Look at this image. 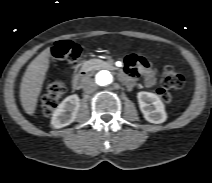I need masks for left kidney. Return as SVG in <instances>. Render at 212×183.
Segmentation results:
<instances>
[{
	"instance_id": "left-kidney-1",
	"label": "left kidney",
	"mask_w": 212,
	"mask_h": 183,
	"mask_svg": "<svg viewBox=\"0 0 212 183\" xmlns=\"http://www.w3.org/2000/svg\"><path fill=\"white\" fill-rule=\"evenodd\" d=\"M137 99L145 120L154 124H160L166 121L167 114L165 112V106L156 94L141 91L137 93Z\"/></svg>"
}]
</instances>
